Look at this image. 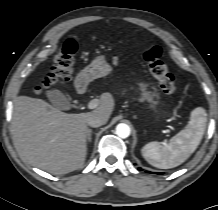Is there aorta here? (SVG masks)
I'll return each instance as SVG.
<instances>
[{"label": "aorta", "instance_id": "obj_1", "mask_svg": "<svg viewBox=\"0 0 218 210\" xmlns=\"http://www.w3.org/2000/svg\"><path fill=\"white\" fill-rule=\"evenodd\" d=\"M116 134L121 138H127L130 135V127L127 124L120 123L116 127Z\"/></svg>", "mask_w": 218, "mask_h": 210}]
</instances>
